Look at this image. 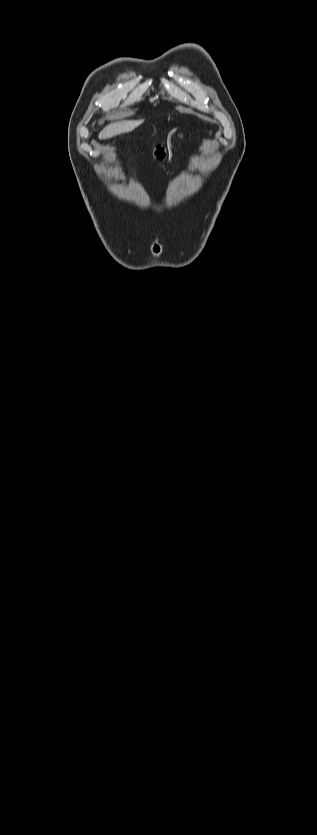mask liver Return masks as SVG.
Returning <instances> with one entry per match:
<instances>
[{
  "mask_svg": "<svg viewBox=\"0 0 317 835\" xmlns=\"http://www.w3.org/2000/svg\"><path fill=\"white\" fill-rule=\"evenodd\" d=\"M144 122V119L140 120H122L118 122L111 123L107 125L100 133L98 138L100 140H106L112 138L116 135L128 133L133 131L135 128L140 126Z\"/></svg>",
  "mask_w": 317,
  "mask_h": 835,
  "instance_id": "6515ba94",
  "label": "liver"
}]
</instances>
